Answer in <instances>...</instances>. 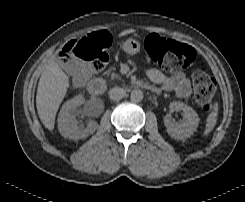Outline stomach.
<instances>
[{
    "label": "stomach",
    "instance_id": "1",
    "mask_svg": "<svg viewBox=\"0 0 245 202\" xmlns=\"http://www.w3.org/2000/svg\"><path fill=\"white\" fill-rule=\"evenodd\" d=\"M120 48L127 54L135 55L140 52V43L136 39L129 38L120 45Z\"/></svg>",
    "mask_w": 245,
    "mask_h": 202
}]
</instances>
